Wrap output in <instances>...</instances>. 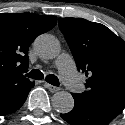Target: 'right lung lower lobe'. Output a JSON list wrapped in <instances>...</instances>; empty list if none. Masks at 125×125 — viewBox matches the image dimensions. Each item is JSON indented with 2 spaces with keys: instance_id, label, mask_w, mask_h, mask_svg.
Here are the masks:
<instances>
[{
  "instance_id": "obj_1",
  "label": "right lung lower lobe",
  "mask_w": 125,
  "mask_h": 125,
  "mask_svg": "<svg viewBox=\"0 0 125 125\" xmlns=\"http://www.w3.org/2000/svg\"><path fill=\"white\" fill-rule=\"evenodd\" d=\"M34 82L18 83L0 90V116L17 111L25 102Z\"/></svg>"
}]
</instances>
